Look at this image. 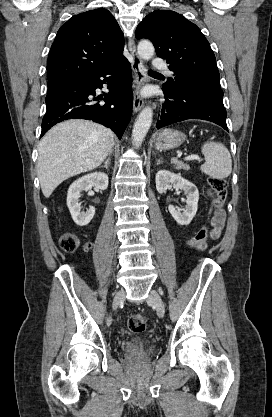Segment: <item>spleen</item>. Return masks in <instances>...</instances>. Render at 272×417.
I'll use <instances>...</instances> for the list:
<instances>
[{
    "label": "spleen",
    "instance_id": "spleen-1",
    "mask_svg": "<svg viewBox=\"0 0 272 417\" xmlns=\"http://www.w3.org/2000/svg\"><path fill=\"white\" fill-rule=\"evenodd\" d=\"M201 151L205 157V163L200 167L203 173L215 179H224L231 174L232 159L222 143L207 142Z\"/></svg>",
    "mask_w": 272,
    "mask_h": 417
}]
</instances>
